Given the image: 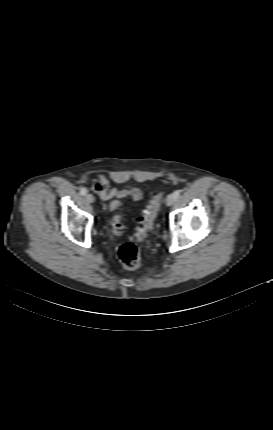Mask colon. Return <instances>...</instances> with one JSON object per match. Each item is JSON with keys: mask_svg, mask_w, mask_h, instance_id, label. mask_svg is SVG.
<instances>
[{"mask_svg": "<svg viewBox=\"0 0 273 430\" xmlns=\"http://www.w3.org/2000/svg\"><path fill=\"white\" fill-rule=\"evenodd\" d=\"M162 193H154L149 200L148 206L137 219L136 232L134 239L142 241L148 236L153 229L154 221L158 215ZM121 207V202L114 200L109 204L110 210H116ZM113 231L117 235H121L124 231L122 224V215L117 213L111 220ZM118 257L120 262L127 269H137L141 265V256L138 247L133 242H125L118 249Z\"/></svg>", "mask_w": 273, "mask_h": 430, "instance_id": "1", "label": "colon"}]
</instances>
